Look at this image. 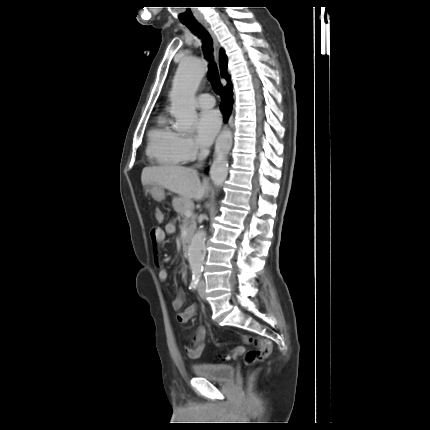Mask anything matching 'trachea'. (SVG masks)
I'll list each match as a JSON object with an SVG mask.
<instances>
[{
	"label": "trachea",
	"mask_w": 430,
	"mask_h": 430,
	"mask_svg": "<svg viewBox=\"0 0 430 430\" xmlns=\"http://www.w3.org/2000/svg\"><path fill=\"white\" fill-rule=\"evenodd\" d=\"M194 34L199 35L204 40V46L203 50L206 54V57L208 59H212L210 56L211 52L213 51L212 48V39L210 34L203 28V26L199 23H190L185 24ZM208 80L211 82L213 89L216 93H220L222 90V84L220 82V77L216 68V65L214 62H211L209 64V71H208Z\"/></svg>",
	"instance_id": "3493384b"
}]
</instances>
